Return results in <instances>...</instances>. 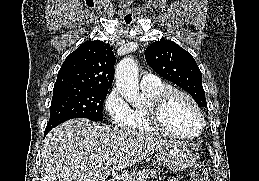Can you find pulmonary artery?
<instances>
[{
	"instance_id": "obj_1",
	"label": "pulmonary artery",
	"mask_w": 259,
	"mask_h": 181,
	"mask_svg": "<svg viewBox=\"0 0 259 181\" xmlns=\"http://www.w3.org/2000/svg\"><path fill=\"white\" fill-rule=\"evenodd\" d=\"M160 82L159 78L153 74H145L142 76L140 85L141 87H149L156 85Z\"/></svg>"
}]
</instances>
